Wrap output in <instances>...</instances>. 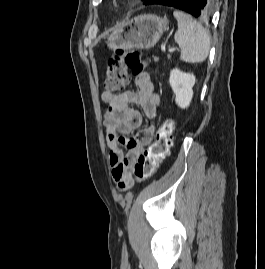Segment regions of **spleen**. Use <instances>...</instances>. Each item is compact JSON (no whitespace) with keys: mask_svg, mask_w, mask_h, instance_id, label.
<instances>
[{"mask_svg":"<svg viewBox=\"0 0 265 269\" xmlns=\"http://www.w3.org/2000/svg\"><path fill=\"white\" fill-rule=\"evenodd\" d=\"M178 30L175 42L181 49L180 59L188 63H201L209 54L211 37L209 32L190 15L175 10Z\"/></svg>","mask_w":265,"mask_h":269,"instance_id":"3e777b00","label":"spleen"}]
</instances>
